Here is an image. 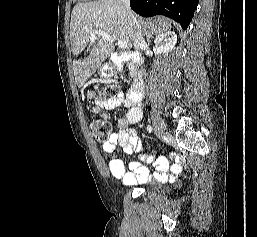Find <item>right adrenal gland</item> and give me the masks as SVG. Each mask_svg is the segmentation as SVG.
Segmentation results:
<instances>
[{
	"label": "right adrenal gland",
	"mask_w": 257,
	"mask_h": 237,
	"mask_svg": "<svg viewBox=\"0 0 257 237\" xmlns=\"http://www.w3.org/2000/svg\"><path fill=\"white\" fill-rule=\"evenodd\" d=\"M151 38H153V36H147V37H146V40H147V43H148V44H150Z\"/></svg>",
	"instance_id": "right-adrenal-gland-1"
}]
</instances>
